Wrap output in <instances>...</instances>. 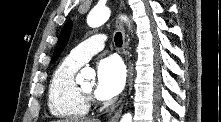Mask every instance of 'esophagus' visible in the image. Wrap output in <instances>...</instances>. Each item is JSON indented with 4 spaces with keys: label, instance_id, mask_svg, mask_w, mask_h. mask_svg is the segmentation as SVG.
Wrapping results in <instances>:
<instances>
[{
    "label": "esophagus",
    "instance_id": "34e87169",
    "mask_svg": "<svg viewBox=\"0 0 221 122\" xmlns=\"http://www.w3.org/2000/svg\"><path fill=\"white\" fill-rule=\"evenodd\" d=\"M118 28L120 29L121 33H122V38H123V54L125 56V61L127 64V69H128V77L130 76V64H129V59H128V43L126 41V34H125V29L123 26L122 22L118 23ZM122 108H123V104H121V106L119 107V109L117 110V112L111 117V119L108 122H118L121 112H122Z\"/></svg>",
    "mask_w": 221,
    "mask_h": 122
}]
</instances>
